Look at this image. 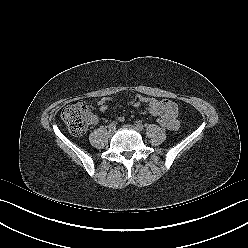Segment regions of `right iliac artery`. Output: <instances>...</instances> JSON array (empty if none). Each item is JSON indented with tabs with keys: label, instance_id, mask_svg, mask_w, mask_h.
Masks as SVG:
<instances>
[{
	"label": "right iliac artery",
	"instance_id": "1",
	"mask_svg": "<svg viewBox=\"0 0 248 248\" xmlns=\"http://www.w3.org/2000/svg\"><path fill=\"white\" fill-rule=\"evenodd\" d=\"M116 126H117V123L116 122H112L110 125H109V129L111 130V129H115L116 128Z\"/></svg>",
	"mask_w": 248,
	"mask_h": 248
}]
</instances>
